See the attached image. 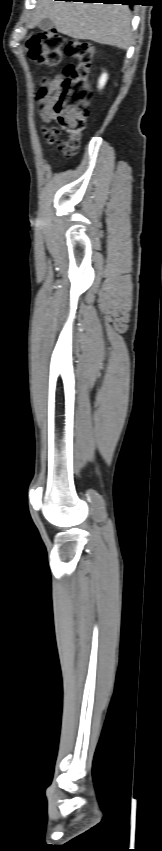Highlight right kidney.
<instances>
[{"label":"right kidney","mask_w":162,"mask_h":851,"mask_svg":"<svg viewBox=\"0 0 162 851\" xmlns=\"http://www.w3.org/2000/svg\"><path fill=\"white\" fill-rule=\"evenodd\" d=\"M106 81H107V74H106V73H104V74H102V76H101V77H100V79H99V85H98V87H99L100 89H101V88H103V86L105 85Z\"/></svg>","instance_id":"ca27d5eb"}]
</instances>
